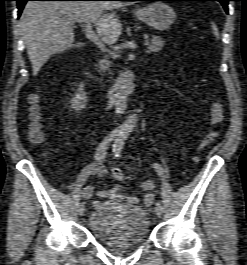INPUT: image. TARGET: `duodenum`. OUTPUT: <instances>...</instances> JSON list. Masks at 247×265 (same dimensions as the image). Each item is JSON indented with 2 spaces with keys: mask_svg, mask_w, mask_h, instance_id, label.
Wrapping results in <instances>:
<instances>
[{
  "mask_svg": "<svg viewBox=\"0 0 247 265\" xmlns=\"http://www.w3.org/2000/svg\"><path fill=\"white\" fill-rule=\"evenodd\" d=\"M134 90V77L130 71H124L118 78L117 84L103 96L108 105H122Z\"/></svg>",
  "mask_w": 247,
  "mask_h": 265,
  "instance_id": "1",
  "label": "duodenum"
}]
</instances>
